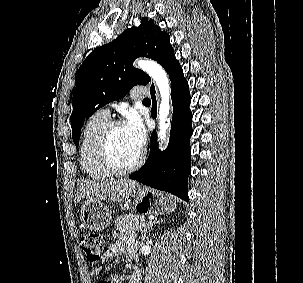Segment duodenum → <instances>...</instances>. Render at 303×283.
<instances>
[{"mask_svg":"<svg viewBox=\"0 0 303 283\" xmlns=\"http://www.w3.org/2000/svg\"><path fill=\"white\" fill-rule=\"evenodd\" d=\"M132 283H138V280L137 279H133Z\"/></svg>","mask_w":303,"mask_h":283,"instance_id":"obj_1","label":"duodenum"}]
</instances>
